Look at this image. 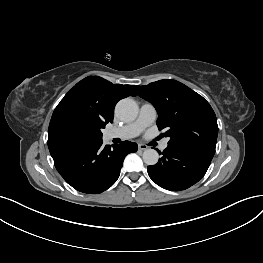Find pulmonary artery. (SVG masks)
<instances>
[{
  "mask_svg": "<svg viewBox=\"0 0 263 263\" xmlns=\"http://www.w3.org/2000/svg\"><path fill=\"white\" fill-rule=\"evenodd\" d=\"M157 117L155 107L150 103H145L141 106L137 119L129 124L119 128H112L105 132V137L109 140L119 138L123 140L137 137L147 127H149ZM161 149L164 150L168 147V140L161 143Z\"/></svg>",
  "mask_w": 263,
  "mask_h": 263,
  "instance_id": "pulmonary-artery-1",
  "label": "pulmonary artery"
}]
</instances>
